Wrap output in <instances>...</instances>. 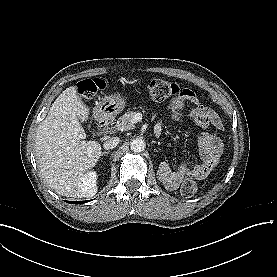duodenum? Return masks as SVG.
<instances>
[{"label": "duodenum", "mask_w": 277, "mask_h": 277, "mask_svg": "<svg viewBox=\"0 0 277 277\" xmlns=\"http://www.w3.org/2000/svg\"><path fill=\"white\" fill-rule=\"evenodd\" d=\"M104 113H105V111H104L103 108L99 109V111L97 113V124H98L99 127L107 129L112 125V120L106 118L104 116ZM160 134H161L160 130L154 131V136L155 137H159Z\"/></svg>", "instance_id": "obj_1"}]
</instances>
